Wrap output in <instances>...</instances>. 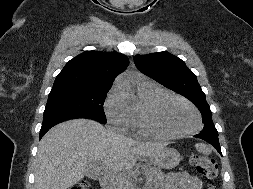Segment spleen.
Returning a JSON list of instances; mask_svg holds the SVG:
<instances>
[{"mask_svg": "<svg viewBox=\"0 0 253 189\" xmlns=\"http://www.w3.org/2000/svg\"><path fill=\"white\" fill-rule=\"evenodd\" d=\"M195 148L197 149L198 152L203 153L205 155H209L212 152V149L210 148V146L203 143L195 144Z\"/></svg>", "mask_w": 253, "mask_h": 189, "instance_id": "obj_1", "label": "spleen"}]
</instances>
